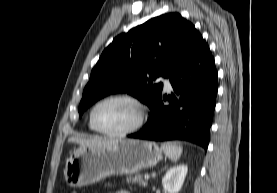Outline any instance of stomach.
Instances as JSON below:
<instances>
[{"mask_svg":"<svg viewBox=\"0 0 277 193\" xmlns=\"http://www.w3.org/2000/svg\"><path fill=\"white\" fill-rule=\"evenodd\" d=\"M161 159V148L146 140L118 139L102 148L80 146L66 160L65 181L70 187L87 186L109 176L138 173Z\"/></svg>","mask_w":277,"mask_h":193,"instance_id":"stomach-1","label":"stomach"}]
</instances>
